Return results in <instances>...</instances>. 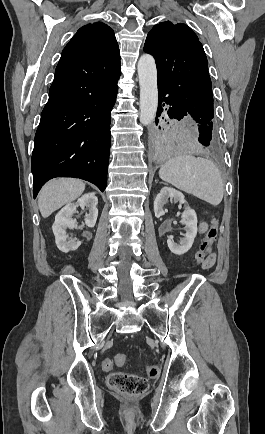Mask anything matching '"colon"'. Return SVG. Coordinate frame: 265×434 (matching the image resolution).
<instances>
[{
	"mask_svg": "<svg viewBox=\"0 0 265 434\" xmlns=\"http://www.w3.org/2000/svg\"><path fill=\"white\" fill-rule=\"evenodd\" d=\"M219 218L216 216L212 220L211 229L205 234L199 250L195 254V260L201 266V262L205 261L206 255H211L212 241H214L218 234ZM209 249V252H206ZM126 357L123 354H117L113 359L103 360L101 367L104 370H110L115 364L125 365ZM146 375L155 379L159 377L161 370L156 365H147L145 367ZM143 376L136 373L129 372H115L107 378L108 385L117 392L125 394H143L149 389V383L147 379H143Z\"/></svg>",
	"mask_w": 265,
	"mask_h": 434,
	"instance_id": "5ec220e1",
	"label": "colon"
}]
</instances>
